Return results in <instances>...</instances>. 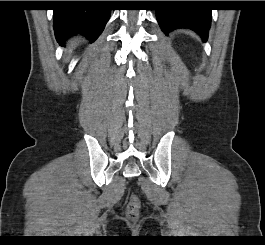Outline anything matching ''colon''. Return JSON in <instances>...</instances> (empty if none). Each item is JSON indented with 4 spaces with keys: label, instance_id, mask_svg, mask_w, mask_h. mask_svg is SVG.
Masks as SVG:
<instances>
[{
    "label": "colon",
    "instance_id": "5ec220e1",
    "mask_svg": "<svg viewBox=\"0 0 265 245\" xmlns=\"http://www.w3.org/2000/svg\"><path fill=\"white\" fill-rule=\"evenodd\" d=\"M139 209H140V201L137 196H132L127 208H126V216L130 220H136L139 217Z\"/></svg>",
    "mask_w": 265,
    "mask_h": 245
}]
</instances>
